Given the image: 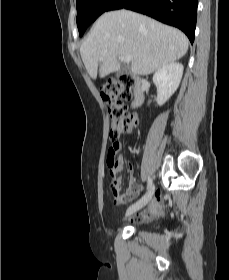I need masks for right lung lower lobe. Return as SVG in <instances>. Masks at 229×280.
I'll list each match as a JSON object with an SVG mask.
<instances>
[{
  "label": "right lung lower lobe",
  "mask_w": 229,
  "mask_h": 280,
  "mask_svg": "<svg viewBox=\"0 0 229 280\" xmlns=\"http://www.w3.org/2000/svg\"><path fill=\"white\" fill-rule=\"evenodd\" d=\"M198 0H116L109 10L136 11L182 30L193 43Z\"/></svg>",
  "instance_id": "obj_1"
}]
</instances>
